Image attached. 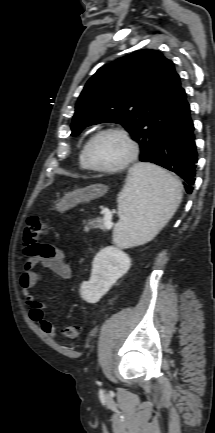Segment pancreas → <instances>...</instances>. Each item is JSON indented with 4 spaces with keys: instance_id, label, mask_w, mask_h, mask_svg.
I'll return each mask as SVG.
<instances>
[{
    "instance_id": "pancreas-1",
    "label": "pancreas",
    "mask_w": 215,
    "mask_h": 433,
    "mask_svg": "<svg viewBox=\"0 0 215 433\" xmlns=\"http://www.w3.org/2000/svg\"><path fill=\"white\" fill-rule=\"evenodd\" d=\"M94 228H100L105 230L106 228L104 226V219L88 221L87 223L84 224L83 231L87 233Z\"/></svg>"
}]
</instances>
